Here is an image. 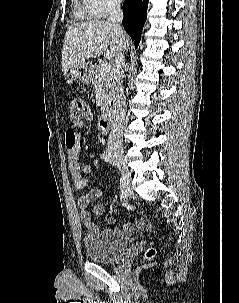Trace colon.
Instances as JSON below:
<instances>
[{"label":"colon","mask_w":239,"mask_h":303,"mask_svg":"<svg viewBox=\"0 0 239 303\" xmlns=\"http://www.w3.org/2000/svg\"><path fill=\"white\" fill-rule=\"evenodd\" d=\"M89 115L87 103L80 97H72L68 101V119L70 122H78ZM155 251L149 248L145 253V258L150 260L154 257Z\"/></svg>","instance_id":"5ec220e1"}]
</instances>
